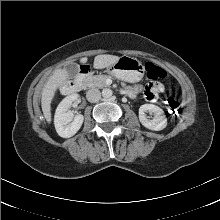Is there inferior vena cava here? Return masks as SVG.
Wrapping results in <instances>:
<instances>
[{
  "instance_id": "obj_1",
  "label": "inferior vena cava",
  "mask_w": 220,
  "mask_h": 220,
  "mask_svg": "<svg viewBox=\"0 0 220 220\" xmlns=\"http://www.w3.org/2000/svg\"><path fill=\"white\" fill-rule=\"evenodd\" d=\"M86 98L89 102H97L101 98V92L98 89H90L86 93Z\"/></svg>"
}]
</instances>
